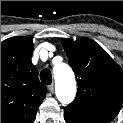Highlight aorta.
<instances>
[{"label":"aorta","mask_w":123,"mask_h":123,"mask_svg":"<svg viewBox=\"0 0 123 123\" xmlns=\"http://www.w3.org/2000/svg\"><path fill=\"white\" fill-rule=\"evenodd\" d=\"M56 96L62 104L71 103L76 95V81L70 66L65 63L55 65L53 69Z\"/></svg>","instance_id":"aorta-1"}]
</instances>
